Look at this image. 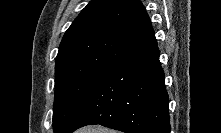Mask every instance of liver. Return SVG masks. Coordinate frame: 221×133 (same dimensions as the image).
<instances>
[{
	"mask_svg": "<svg viewBox=\"0 0 221 133\" xmlns=\"http://www.w3.org/2000/svg\"><path fill=\"white\" fill-rule=\"evenodd\" d=\"M76 133H115L113 130H109L100 126L96 127H84L76 131Z\"/></svg>",
	"mask_w": 221,
	"mask_h": 133,
	"instance_id": "1",
	"label": "liver"
}]
</instances>
